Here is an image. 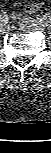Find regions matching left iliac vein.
Listing matches in <instances>:
<instances>
[{
    "label": "left iliac vein",
    "instance_id": "1",
    "mask_svg": "<svg viewBox=\"0 0 51 153\" xmlns=\"http://www.w3.org/2000/svg\"><path fill=\"white\" fill-rule=\"evenodd\" d=\"M26 29H35L45 31L46 26L42 22L22 20L20 23Z\"/></svg>",
    "mask_w": 51,
    "mask_h": 153
}]
</instances>
